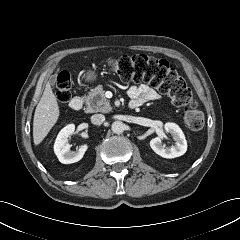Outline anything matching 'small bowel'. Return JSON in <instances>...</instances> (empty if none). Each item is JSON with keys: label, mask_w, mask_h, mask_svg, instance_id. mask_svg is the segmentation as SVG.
Wrapping results in <instances>:
<instances>
[{"label": "small bowel", "mask_w": 240, "mask_h": 240, "mask_svg": "<svg viewBox=\"0 0 240 240\" xmlns=\"http://www.w3.org/2000/svg\"><path fill=\"white\" fill-rule=\"evenodd\" d=\"M127 93L132 99L131 102L136 103L137 107H141L147 102L160 99V94L151 86L147 84H140L138 86H131Z\"/></svg>", "instance_id": "c3829d8e"}]
</instances>
